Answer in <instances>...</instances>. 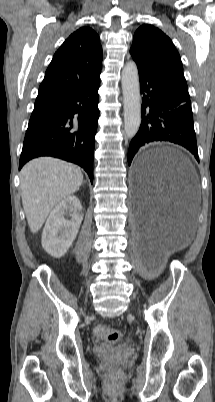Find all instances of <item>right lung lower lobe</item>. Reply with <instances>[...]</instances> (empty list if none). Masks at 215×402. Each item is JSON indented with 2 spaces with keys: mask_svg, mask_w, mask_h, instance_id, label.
I'll return each instance as SVG.
<instances>
[{
  "mask_svg": "<svg viewBox=\"0 0 215 402\" xmlns=\"http://www.w3.org/2000/svg\"><path fill=\"white\" fill-rule=\"evenodd\" d=\"M100 76L55 101L29 121L19 169L29 160L52 156L78 164L93 183V155L99 118Z\"/></svg>",
  "mask_w": 215,
  "mask_h": 402,
  "instance_id": "1",
  "label": "right lung lower lobe"
}]
</instances>
